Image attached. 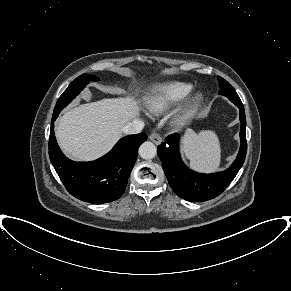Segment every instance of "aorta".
I'll return each instance as SVG.
<instances>
[{
  "mask_svg": "<svg viewBox=\"0 0 291 291\" xmlns=\"http://www.w3.org/2000/svg\"><path fill=\"white\" fill-rule=\"evenodd\" d=\"M157 154V148L156 146L150 142L146 141L141 146L139 147V155L143 159H152L156 156Z\"/></svg>",
  "mask_w": 291,
  "mask_h": 291,
  "instance_id": "aorta-1",
  "label": "aorta"
}]
</instances>
